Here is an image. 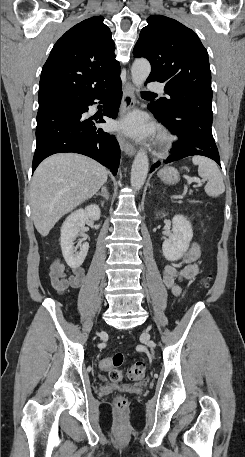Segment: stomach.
Here are the masks:
<instances>
[{
    "label": "stomach",
    "instance_id": "stomach-1",
    "mask_svg": "<svg viewBox=\"0 0 245 457\" xmlns=\"http://www.w3.org/2000/svg\"><path fill=\"white\" fill-rule=\"evenodd\" d=\"M158 176H160L165 184H174V182L180 180V174L174 166H165V168H161L158 172Z\"/></svg>",
    "mask_w": 245,
    "mask_h": 457
}]
</instances>
